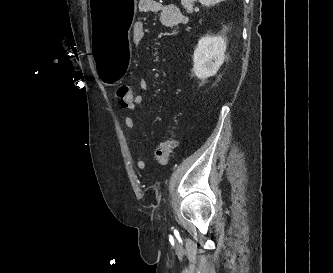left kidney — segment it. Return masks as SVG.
Segmentation results:
<instances>
[{
	"label": "left kidney",
	"instance_id": "left-kidney-1",
	"mask_svg": "<svg viewBox=\"0 0 333 273\" xmlns=\"http://www.w3.org/2000/svg\"><path fill=\"white\" fill-rule=\"evenodd\" d=\"M226 41L221 36L202 37L193 55V72L204 80L217 73L225 59Z\"/></svg>",
	"mask_w": 333,
	"mask_h": 273
}]
</instances>
